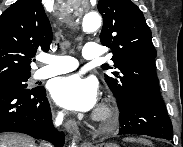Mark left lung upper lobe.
<instances>
[{
	"mask_svg": "<svg viewBox=\"0 0 183 147\" xmlns=\"http://www.w3.org/2000/svg\"><path fill=\"white\" fill-rule=\"evenodd\" d=\"M103 16L102 45L113 53L112 64H104L105 81L118 106L133 95L160 96L155 70L156 50L141 10L131 0H99Z\"/></svg>",
	"mask_w": 183,
	"mask_h": 147,
	"instance_id": "5c2ea615",
	"label": "left lung upper lobe"
}]
</instances>
